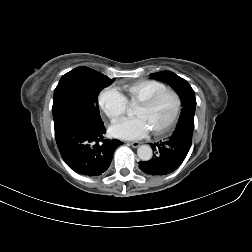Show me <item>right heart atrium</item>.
<instances>
[{
  "label": "right heart atrium",
  "instance_id": "right-heart-atrium-1",
  "mask_svg": "<svg viewBox=\"0 0 252 252\" xmlns=\"http://www.w3.org/2000/svg\"><path fill=\"white\" fill-rule=\"evenodd\" d=\"M98 102L104 114L112 122L122 117L127 105L125 96L113 87L103 89L99 94Z\"/></svg>",
  "mask_w": 252,
  "mask_h": 252
}]
</instances>
